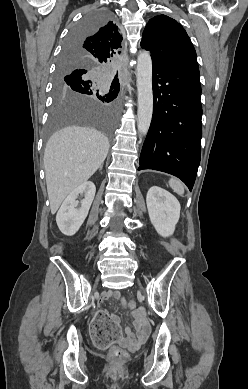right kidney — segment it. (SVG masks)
I'll return each instance as SVG.
<instances>
[{"instance_id": "ca27d5eb", "label": "right kidney", "mask_w": 248, "mask_h": 389, "mask_svg": "<svg viewBox=\"0 0 248 389\" xmlns=\"http://www.w3.org/2000/svg\"><path fill=\"white\" fill-rule=\"evenodd\" d=\"M96 192L93 182L88 181L75 188L62 203L56 222L60 231L67 236H73L86 219ZM84 194L80 208H76L79 195Z\"/></svg>"}]
</instances>
